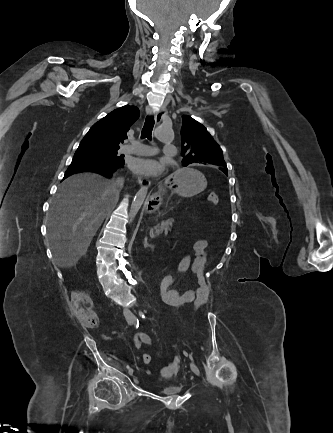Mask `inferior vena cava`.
<instances>
[{"label": "inferior vena cava", "mask_w": 333, "mask_h": 433, "mask_svg": "<svg viewBox=\"0 0 333 433\" xmlns=\"http://www.w3.org/2000/svg\"><path fill=\"white\" fill-rule=\"evenodd\" d=\"M123 184H124L123 179L116 180L115 185H116L117 190H118V188H122ZM123 314H124V317L128 323L133 322L135 320V316L130 310L125 309Z\"/></svg>", "instance_id": "obj_1"}]
</instances>
